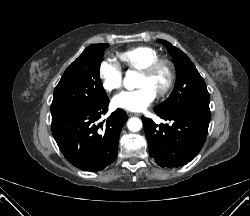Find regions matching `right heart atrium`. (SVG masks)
<instances>
[{"instance_id": "d8ad5b80", "label": "right heart atrium", "mask_w": 250, "mask_h": 216, "mask_svg": "<svg viewBox=\"0 0 250 216\" xmlns=\"http://www.w3.org/2000/svg\"><path fill=\"white\" fill-rule=\"evenodd\" d=\"M102 75L107 88L119 89L123 84V71L115 62H107L102 67Z\"/></svg>"}]
</instances>
